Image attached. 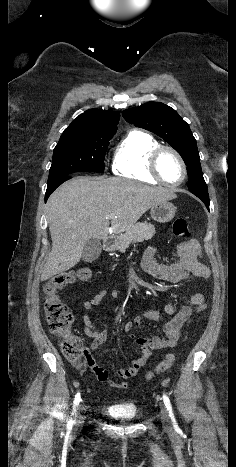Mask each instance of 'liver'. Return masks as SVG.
Wrapping results in <instances>:
<instances>
[{
    "label": "liver",
    "mask_w": 236,
    "mask_h": 467,
    "mask_svg": "<svg viewBox=\"0 0 236 467\" xmlns=\"http://www.w3.org/2000/svg\"><path fill=\"white\" fill-rule=\"evenodd\" d=\"M175 198L172 189L121 178L78 176L64 183L46 205L52 250L41 281L74 267L89 239L128 231L153 205Z\"/></svg>",
    "instance_id": "6515ba94"
}]
</instances>
